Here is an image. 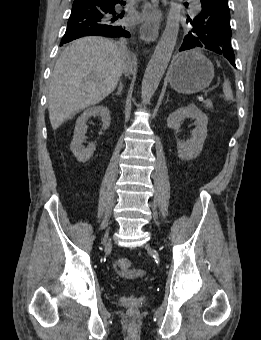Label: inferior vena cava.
<instances>
[{"label": "inferior vena cava", "instance_id": "obj_1", "mask_svg": "<svg viewBox=\"0 0 261 340\" xmlns=\"http://www.w3.org/2000/svg\"><path fill=\"white\" fill-rule=\"evenodd\" d=\"M118 47L124 55H128V51H127V47H126V41L124 39H121L119 41Z\"/></svg>", "mask_w": 261, "mask_h": 340}]
</instances>
